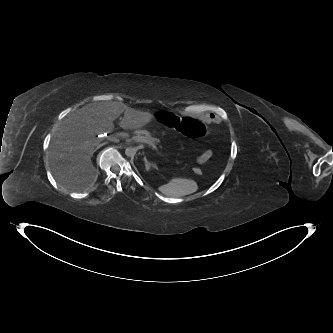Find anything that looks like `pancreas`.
<instances>
[{"label": "pancreas", "mask_w": 333, "mask_h": 333, "mask_svg": "<svg viewBox=\"0 0 333 333\" xmlns=\"http://www.w3.org/2000/svg\"><path fill=\"white\" fill-rule=\"evenodd\" d=\"M135 133H136V136H134V137H145L151 143L156 144V145L160 143V140L158 138L153 137L151 135V133L146 130H137Z\"/></svg>", "instance_id": "pancreas-1"}]
</instances>
